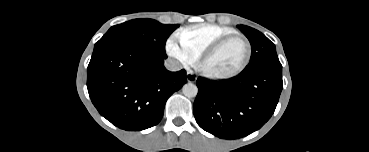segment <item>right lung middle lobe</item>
Returning <instances> with one entry per match:
<instances>
[{
	"mask_svg": "<svg viewBox=\"0 0 369 152\" xmlns=\"http://www.w3.org/2000/svg\"><path fill=\"white\" fill-rule=\"evenodd\" d=\"M177 27L178 25H164L152 19L130 20L111 27L95 44L93 53L115 44L127 43L167 58L165 43Z\"/></svg>",
	"mask_w": 369,
	"mask_h": 152,
	"instance_id": "obj_1",
	"label": "right lung middle lobe"
}]
</instances>
